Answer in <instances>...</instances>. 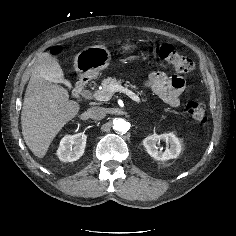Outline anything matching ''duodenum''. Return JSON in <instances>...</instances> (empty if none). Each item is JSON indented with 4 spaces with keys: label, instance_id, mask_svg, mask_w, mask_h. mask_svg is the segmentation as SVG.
Listing matches in <instances>:
<instances>
[{
    "label": "duodenum",
    "instance_id": "obj_1",
    "mask_svg": "<svg viewBox=\"0 0 236 236\" xmlns=\"http://www.w3.org/2000/svg\"><path fill=\"white\" fill-rule=\"evenodd\" d=\"M87 84H88V81L86 78H80L77 81L75 89H74V96L76 98H81L82 96H84L86 92Z\"/></svg>",
    "mask_w": 236,
    "mask_h": 236
}]
</instances>
